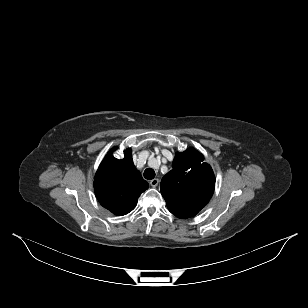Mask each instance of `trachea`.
Returning a JSON list of instances; mask_svg holds the SVG:
<instances>
[{
    "mask_svg": "<svg viewBox=\"0 0 308 308\" xmlns=\"http://www.w3.org/2000/svg\"><path fill=\"white\" fill-rule=\"evenodd\" d=\"M155 177V171L152 168H147L144 171V178L147 180H152Z\"/></svg>",
    "mask_w": 308,
    "mask_h": 308,
    "instance_id": "3493384b",
    "label": "trachea"
}]
</instances>
